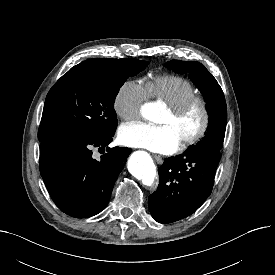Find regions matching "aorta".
<instances>
[{
  "label": "aorta",
  "instance_id": "aorta-1",
  "mask_svg": "<svg viewBox=\"0 0 275 275\" xmlns=\"http://www.w3.org/2000/svg\"><path fill=\"white\" fill-rule=\"evenodd\" d=\"M142 114L145 118L156 122L160 118L161 110L155 104L150 103L142 108ZM128 167L129 171L146 185H150L156 177V166L151 157L145 153H133Z\"/></svg>",
  "mask_w": 275,
  "mask_h": 275
}]
</instances>
